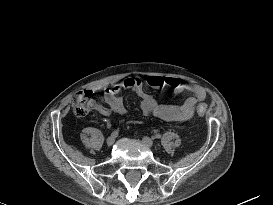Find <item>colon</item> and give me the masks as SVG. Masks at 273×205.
I'll list each match as a JSON object with an SVG mask.
<instances>
[{
    "mask_svg": "<svg viewBox=\"0 0 273 205\" xmlns=\"http://www.w3.org/2000/svg\"><path fill=\"white\" fill-rule=\"evenodd\" d=\"M100 93L94 90H81L76 92L71 100L72 108L76 115L86 116L89 112L98 107ZM199 115L203 116L207 113L205 105L200 104L197 107Z\"/></svg>",
    "mask_w": 273,
    "mask_h": 205,
    "instance_id": "1",
    "label": "colon"
}]
</instances>
